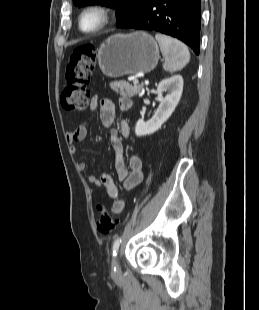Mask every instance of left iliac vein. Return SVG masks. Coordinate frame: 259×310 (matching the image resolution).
Returning a JSON list of instances; mask_svg holds the SVG:
<instances>
[{"label": "left iliac vein", "mask_w": 259, "mask_h": 310, "mask_svg": "<svg viewBox=\"0 0 259 310\" xmlns=\"http://www.w3.org/2000/svg\"><path fill=\"white\" fill-rule=\"evenodd\" d=\"M113 272H116V273H119V272H120V264H119V258H118V256H116V257H115V260H114Z\"/></svg>", "instance_id": "4c4485c4"}]
</instances>
